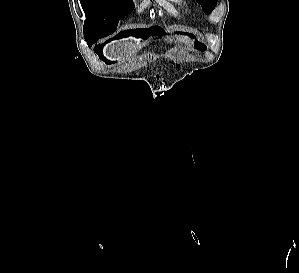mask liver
<instances>
[{"label": "liver", "mask_w": 299, "mask_h": 273, "mask_svg": "<svg viewBox=\"0 0 299 273\" xmlns=\"http://www.w3.org/2000/svg\"><path fill=\"white\" fill-rule=\"evenodd\" d=\"M176 38L180 42L189 43L188 39H186L183 36H177ZM146 43L147 41L141 43L140 40H136L133 38L114 41L109 43L105 47V54L110 59L124 60L125 58H128L130 55L136 53L137 50L141 49Z\"/></svg>", "instance_id": "obj_1"}]
</instances>
